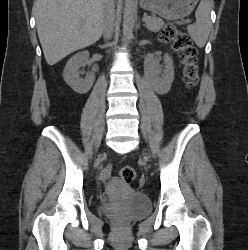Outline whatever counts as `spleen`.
<instances>
[{"mask_svg":"<svg viewBox=\"0 0 248 250\" xmlns=\"http://www.w3.org/2000/svg\"><path fill=\"white\" fill-rule=\"evenodd\" d=\"M210 11L211 4L209 0H201L195 12L196 22L187 27L190 37L200 48L204 47L210 34Z\"/></svg>","mask_w":248,"mask_h":250,"instance_id":"1","label":"spleen"}]
</instances>
